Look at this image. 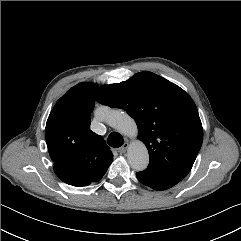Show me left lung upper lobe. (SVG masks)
<instances>
[{
  "instance_id": "left-lung-upper-lobe-1",
  "label": "left lung upper lobe",
  "mask_w": 241,
  "mask_h": 241,
  "mask_svg": "<svg viewBox=\"0 0 241 241\" xmlns=\"http://www.w3.org/2000/svg\"><path fill=\"white\" fill-rule=\"evenodd\" d=\"M97 101L125 110L137 123L149 151L147 169L183 179L203 141V128L191 97L179 86L144 71L119 84L104 85Z\"/></svg>"
}]
</instances>
